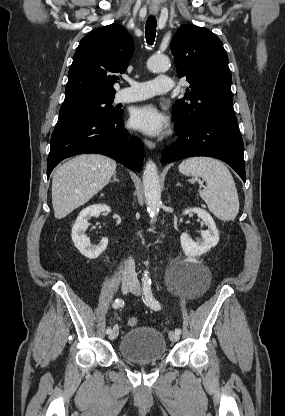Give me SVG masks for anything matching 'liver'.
Returning a JSON list of instances; mask_svg holds the SVG:
<instances>
[{
	"instance_id": "obj_1",
	"label": "liver",
	"mask_w": 285,
	"mask_h": 416,
	"mask_svg": "<svg viewBox=\"0 0 285 416\" xmlns=\"http://www.w3.org/2000/svg\"><path fill=\"white\" fill-rule=\"evenodd\" d=\"M114 160L83 154L57 168L52 180V206L57 220L89 202L116 174Z\"/></svg>"
}]
</instances>
